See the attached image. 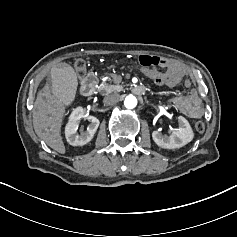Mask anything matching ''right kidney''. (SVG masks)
<instances>
[{"label": "right kidney", "instance_id": "obj_1", "mask_svg": "<svg viewBox=\"0 0 237 237\" xmlns=\"http://www.w3.org/2000/svg\"><path fill=\"white\" fill-rule=\"evenodd\" d=\"M83 118H87L89 125L87 129L81 126ZM99 119L95 116H86L83 108H77L71 115L70 122L68 123L65 131L67 142L71 146H83L91 141L97 128L99 126ZM80 128V129H79ZM79 130V134L78 133Z\"/></svg>", "mask_w": 237, "mask_h": 237}]
</instances>
